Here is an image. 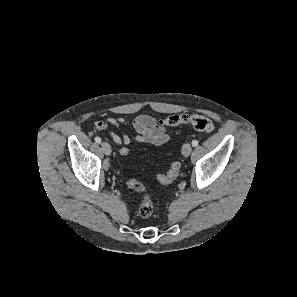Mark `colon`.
Wrapping results in <instances>:
<instances>
[{
	"mask_svg": "<svg viewBox=\"0 0 297 297\" xmlns=\"http://www.w3.org/2000/svg\"><path fill=\"white\" fill-rule=\"evenodd\" d=\"M159 123L164 127H180V126H191L196 131L210 134L214 130L213 122L200 114L191 115H171L167 118L160 120ZM118 155L121 157L128 156V148L126 146H121L118 150ZM181 168V164L175 161L171 164L170 169L167 174H160L157 176V180L161 184H169L175 180ZM127 185L132 190L142 193L143 200L139 207V214L143 218H148L153 214V203L150 197L145 194V187L143 183L136 179H129Z\"/></svg>",
	"mask_w": 297,
	"mask_h": 297,
	"instance_id": "obj_1",
	"label": "colon"
}]
</instances>
